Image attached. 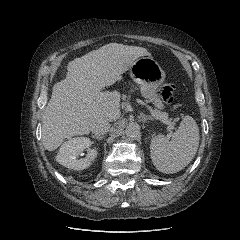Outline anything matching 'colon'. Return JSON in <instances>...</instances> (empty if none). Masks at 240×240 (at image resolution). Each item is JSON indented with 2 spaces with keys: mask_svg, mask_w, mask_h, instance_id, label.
<instances>
[{
  "mask_svg": "<svg viewBox=\"0 0 240 240\" xmlns=\"http://www.w3.org/2000/svg\"><path fill=\"white\" fill-rule=\"evenodd\" d=\"M174 90L175 86L171 83H167L161 87L159 95L165 102H172Z\"/></svg>",
  "mask_w": 240,
  "mask_h": 240,
  "instance_id": "colon-1",
  "label": "colon"
}]
</instances>
